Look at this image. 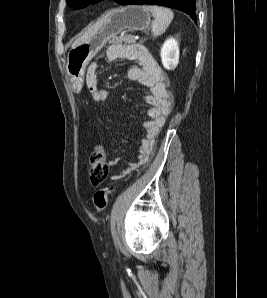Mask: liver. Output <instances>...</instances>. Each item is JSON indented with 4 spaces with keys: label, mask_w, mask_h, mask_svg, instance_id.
Returning <instances> with one entry per match:
<instances>
[{
    "label": "liver",
    "mask_w": 267,
    "mask_h": 298,
    "mask_svg": "<svg viewBox=\"0 0 267 298\" xmlns=\"http://www.w3.org/2000/svg\"><path fill=\"white\" fill-rule=\"evenodd\" d=\"M105 22H106V18L103 17L102 19L97 21L94 25L89 27L82 36H80L78 39L74 41V43L72 44V48L84 42L89 41L100 30V28L103 26Z\"/></svg>",
    "instance_id": "liver-1"
}]
</instances>
